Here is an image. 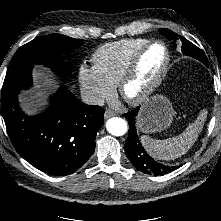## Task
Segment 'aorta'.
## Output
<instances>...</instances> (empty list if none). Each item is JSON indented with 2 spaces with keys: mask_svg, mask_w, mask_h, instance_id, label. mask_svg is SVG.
I'll return each instance as SVG.
<instances>
[{
  "mask_svg": "<svg viewBox=\"0 0 221 221\" xmlns=\"http://www.w3.org/2000/svg\"><path fill=\"white\" fill-rule=\"evenodd\" d=\"M106 129L113 136H122L127 132L128 125L124 119L113 117L106 122Z\"/></svg>",
  "mask_w": 221,
  "mask_h": 221,
  "instance_id": "aorta-1",
  "label": "aorta"
}]
</instances>
